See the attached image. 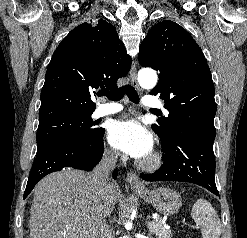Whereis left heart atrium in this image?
<instances>
[{
    "instance_id": "1",
    "label": "left heart atrium",
    "mask_w": 247,
    "mask_h": 238,
    "mask_svg": "<svg viewBox=\"0 0 247 238\" xmlns=\"http://www.w3.org/2000/svg\"><path fill=\"white\" fill-rule=\"evenodd\" d=\"M108 140L114 148L135 158L146 157L153 146L150 133L134 119L114 121L108 130Z\"/></svg>"
}]
</instances>
